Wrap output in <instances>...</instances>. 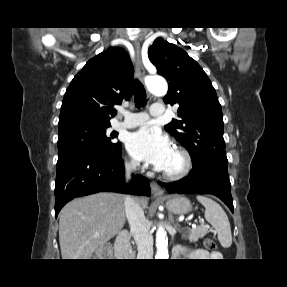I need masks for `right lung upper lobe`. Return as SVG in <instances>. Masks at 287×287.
I'll list each match as a JSON object with an SVG mask.
<instances>
[{"mask_svg":"<svg viewBox=\"0 0 287 287\" xmlns=\"http://www.w3.org/2000/svg\"><path fill=\"white\" fill-rule=\"evenodd\" d=\"M133 74L129 55L119 47L89 60L66 90L58 126L80 122L110 126L116 115L113 106L132 96Z\"/></svg>","mask_w":287,"mask_h":287,"instance_id":"cb5924a9","label":"right lung upper lobe"}]
</instances>
